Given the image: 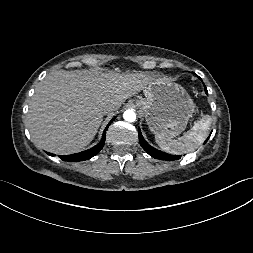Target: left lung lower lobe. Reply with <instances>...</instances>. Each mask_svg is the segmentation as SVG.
<instances>
[{"instance_id":"0a47b994","label":"left lung lower lobe","mask_w":253,"mask_h":253,"mask_svg":"<svg viewBox=\"0 0 253 253\" xmlns=\"http://www.w3.org/2000/svg\"><path fill=\"white\" fill-rule=\"evenodd\" d=\"M205 87V86H204ZM205 92L207 94V89L205 87ZM138 132H139V142L140 145L142 146V148L152 157L156 158V159H160V160H168V161H173V160H178L181 158V156H175V155H170L164 152H161L155 148H153L152 146H150L143 138L140 128H138ZM209 137L206 139L205 143L208 141Z\"/></svg>"}]
</instances>
